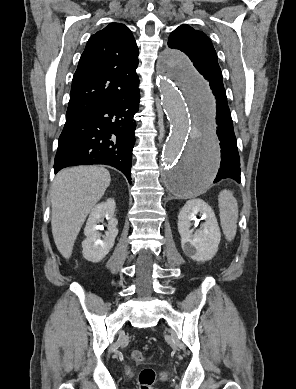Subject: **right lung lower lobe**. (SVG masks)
Returning <instances> with one entry per match:
<instances>
[{
  "label": "right lung lower lobe",
  "instance_id": "obj_1",
  "mask_svg": "<svg viewBox=\"0 0 296 389\" xmlns=\"http://www.w3.org/2000/svg\"><path fill=\"white\" fill-rule=\"evenodd\" d=\"M138 84L137 76L117 100L66 120L55 156V173L68 166L105 164L120 170L131 183Z\"/></svg>",
  "mask_w": 296,
  "mask_h": 389
}]
</instances>
